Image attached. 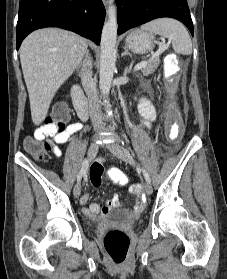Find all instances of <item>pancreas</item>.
Instances as JSON below:
<instances>
[{
    "instance_id": "obj_1",
    "label": "pancreas",
    "mask_w": 227,
    "mask_h": 279,
    "mask_svg": "<svg viewBox=\"0 0 227 279\" xmlns=\"http://www.w3.org/2000/svg\"><path fill=\"white\" fill-rule=\"evenodd\" d=\"M159 59L156 58L152 61H150V63H148L146 66L141 68V73L143 74V76H148L152 73H154V71L158 68L159 66Z\"/></svg>"
}]
</instances>
